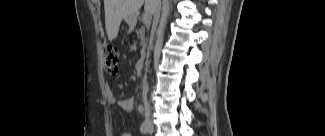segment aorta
I'll return each instance as SVG.
<instances>
[{
    "label": "aorta",
    "instance_id": "obj_1",
    "mask_svg": "<svg viewBox=\"0 0 325 136\" xmlns=\"http://www.w3.org/2000/svg\"><path fill=\"white\" fill-rule=\"evenodd\" d=\"M145 85V77L143 78V81H142V87H144Z\"/></svg>",
    "mask_w": 325,
    "mask_h": 136
}]
</instances>
